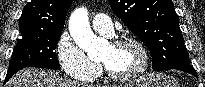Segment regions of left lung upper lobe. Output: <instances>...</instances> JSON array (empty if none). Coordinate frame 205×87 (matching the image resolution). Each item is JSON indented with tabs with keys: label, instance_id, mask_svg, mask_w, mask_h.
I'll return each instance as SVG.
<instances>
[{
	"label": "left lung upper lobe",
	"instance_id": "5c2ea615",
	"mask_svg": "<svg viewBox=\"0 0 205 87\" xmlns=\"http://www.w3.org/2000/svg\"><path fill=\"white\" fill-rule=\"evenodd\" d=\"M109 4L150 50L154 71L190 65L172 0H109Z\"/></svg>",
	"mask_w": 205,
	"mask_h": 87
}]
</instances>
